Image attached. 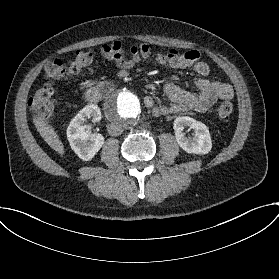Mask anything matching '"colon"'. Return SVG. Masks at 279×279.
<instances>
[{"label":"colon","mask_w":279,"mask_h":279,"mask_svg":"<svg viewBox=\"0 0 279 279\" xmlns=\"http://www.w3.org/2000/svg\"><path fill=\"white\" fill-rule=\"evenodd\" d=\"M93 61V55L89 52L75 54L66 65L61 61H50L44 68L48 81L59 82L68 75H77L84 71ZM30 110L38 117H46L54 110V88L45 85L38 89L29 99ZM233 113V104L228 100H222L217 106V117L221 121L230 119Z\"/></svg>","instance_id":"obj_1"}]
</instances>
